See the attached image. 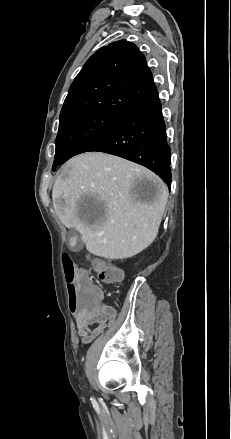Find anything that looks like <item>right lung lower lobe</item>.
<instances>
[{"mask_svg":"<svg viewBox=\"0 0 231 439\" xmlns=\"http://www.w3.org/2000/svg\"><path fill=\"white\" fill-rule=\"evenodd\" d=\"M90 151L113 154L143 165L171 187V151L158 96L127 113L84 152Z\"/></svg>","mask_w":231,"mask_h":439,"instance_id":"right-lung-lower-lobe-1","label":"right lung lower lobe"}]
</instances>
